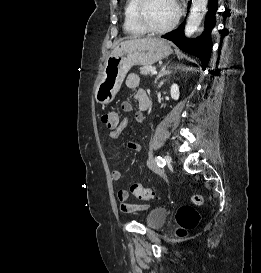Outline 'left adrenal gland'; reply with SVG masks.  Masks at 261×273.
<instances>
[{"label": "left adrenal gland", "mask_w": 261, "mask_h": 273, "mask_svg": "<svg viewBox=\"0 0 261 273\" xmlns=\"http://www.w3.org/2000/svg\"><path fill=\"white\" fill-rule=\"evenodd\" d=\"M167 65H164L160 71V73L158 74V76L155 78V84L157 83V81L159 80V78L163 77L164 75H169L171 73V71L166 70Z\"/></svg>", "instance_id": "1"}]
</instances>
